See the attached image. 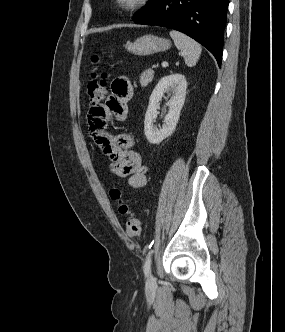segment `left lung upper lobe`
I'll use <instances>...</instances> for the list:
<instances>
[{
	"instance_id": "left-lung-upper-lobe-1",
	"label": "left lung upper lobe",
	"mask_w": 285,
	"mask_h": 332,
	"mask_svg": "<svg viewBox=\"0 0 285 332\" xmlns=\"http://www.w3.org/2000/svg\"><path fill=\"white\" fill-rule=\"evenodd\" d=\"M160 1L161 0H149L147 5L143 9H141L137 14H135L133 20L138 19L143 15L147 14L148 12H150L151 10H153Z\"/></svg>"
}]
</instances>
